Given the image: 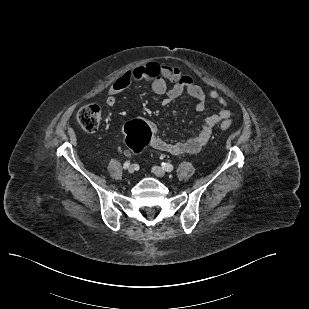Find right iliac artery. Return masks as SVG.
Instances as JSON below:
<instances>
[{
    "instance_id": "right-iliac-artery-1",
    "label": "right iliac artery",
    "mask_w": 309,
    "mask_h": 309,
    "mask_svg": "<svg viewBox=\"0 0 309 309\" xmlns=\"http://www.w3.org/2000/svg\"><path fill=\"white\" fill-rule=\"evenodd\" d=\"M129 166H130V161H126V162L124 163V165H123V168H124V169H127V168H129Z\"/></svg>"
}]
</instances>
